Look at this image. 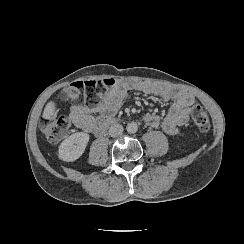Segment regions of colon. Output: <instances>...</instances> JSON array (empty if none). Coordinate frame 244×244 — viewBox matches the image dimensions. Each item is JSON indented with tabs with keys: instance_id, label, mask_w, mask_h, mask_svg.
Here are the masks:
<instances>
[{
	"instance_id": "colon-1",
	"label": "colon",
	"mask_w": 244,
	"mask_h": 244,
	"mask_svg": "<svg viewBox=\"0 0 244 244\" xmlns=\"http://www.w3.org/2000/svg\"><path fill=\"white\" fill-rule=\"evenodd\" d=\"M84 82H76L62 88L59 95L62 99L67 100L70 97L74 101L84 100L83 89ZM114 84L112 78L93 81L85 88V98L88 104H95L100 99V94L104 90ZM192 124L199 131H206L210 127V119L207 111L200 103H194L191 109ZM70 122L64 114L57 110L46 113L40 121V129L46 140L49 142H57L68 135Z\"/></svg>"
}]
</instances>
